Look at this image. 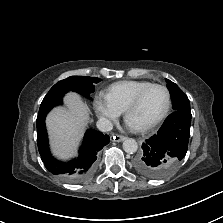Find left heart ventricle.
Returning a JSON list of instances; mask_svg holds the SVG:
<instances>
[{
    "instance_id": "1",
    "label": "left heart ventricle",
    "mask_w": 223,
    "mask_h": 223,
    "mask_svg": "<svg viewBox=\"0 0 223 223\" xmlns=\"http://www.w3.org/2000/svg\"><path fill=\"white\" fill-rule=\"evenodd\" d=\"M167 96L162 88L156 87L146 93L140 104L128 115L127 121L133 127L154 122L164 111Z\"/></svg>"
}]
</instances>
